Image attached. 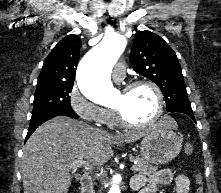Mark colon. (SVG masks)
I'll use <instances>...</instances> for the list:
<instances>
[{"mask_svg": "<svg viewBox=\"0 0 221 193\" xmlns=\"http://www.w3.org/2000/svg\"><path fill=\"white\" fill-rule=\"evenodd\" d=\"M185 151L188 154H193L194 153V146L192 144H186ZM195 181L197 184V193H202L203 187H202V176H201L200 171L196 172Z\"/></svg>", "mask_w": 221, "mask_h": 193, "instance_id": "1", "label": "colon"}]
</instances>
